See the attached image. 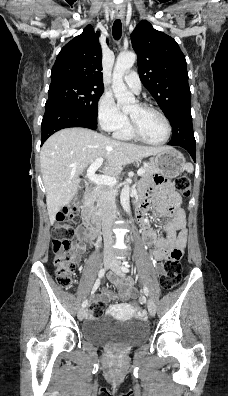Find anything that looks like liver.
<instances>
[{
	"label": "liver",
	"instance_id": "1",
	"mask_svg": "<svg viewBox=\"0 0 228 396\" xmlns=\"http://www.w3.org/2000/svg\"><path fill=\"white\" fill-rule=\"evenodd\" d=\"M169 147L139 146L114 140L87 128L63 129L44 143L40 152L42 179L51 224L77 194L79 176L102 158V173L117 176L127 164L156 155Z\"/></svg>",
	"mask_w": 228,
	"mask_h": 396
}]
</instances>
